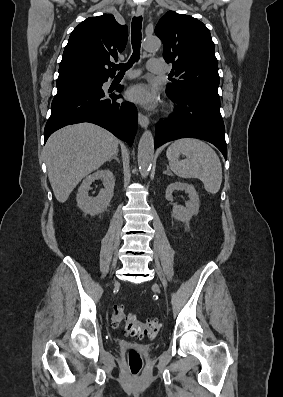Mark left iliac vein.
Listing matches in <instances>:
<instances>
[{"mask_svg": "<svg viewBox=\"0 0 283 397\" xmlns=\"http://www.w3.org/2000/svg\"><path fill=\"white\" fill-rule=\"evenodd\" d=\"M153 287L155 288V290H156L158 293H160V288H159V286H158L157 284H154Z\"/></svg>", "mask_w": 283, "mask_h": 397, "instance_id": "obj_1", "label": "left iliac vein"}]
</instances>
